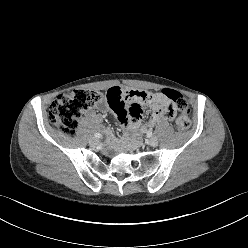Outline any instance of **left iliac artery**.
I'll list each match as a JSON object with an SVG mask.
<instances>
[{
	"mask_svg": "<svg viewBox=\"0 0 248 248\" xmlns=\"http://www.w3.org/2000/svg\"><path fill=\"white\" fill-rule=\"evenodd\" d=\"M150 136H152V132L151 131L148 132V137H150Z\"/></svg>",
	"mask_w": 248,
	"mask_h": 248,
	"instance_id": "obj_1",
	"label": "left iliac artery"
}]
</instances>
